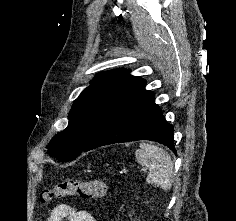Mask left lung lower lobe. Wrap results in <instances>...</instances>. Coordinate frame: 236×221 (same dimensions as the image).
<instances>
[{
	"mask_svg": "<svg viewBox=\"0 0 236 221\" xmlns=\"http://www.w3.org/2000/svg\"><path fill=\"white\" fill-rule=\"evenodd\" d=\"M146 82L114 109L99 127L84 152L100 146L135 140H152L175 154L173 127L165 121Z\"/></svg>",
	"mask_w": 236,
	"mask_h": 221,
	"instance_id": "left-lung-lower-lobe-1",
	"label": "left lung lower lobe"
}]
</instances>
